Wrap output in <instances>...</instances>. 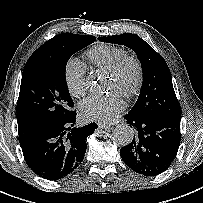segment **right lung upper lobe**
I'll list each match as a JSON object with an SVG mask.
<instances>
[{"label":"right lung upper lobe","mask_w":203,"mask_h":203,"mask_svg":"<svg viewBox=\"0 0 203 203\" xmlns=\"http://www.w3.org/2000/svg\"><path fill=\"white\" fill-rule=\"evenodd\" d=\"M78 35V34H71V33H64V34H59L53 37L52 39L46 41L41 47H39L31 56L30 58L38 57L41 55L48 54L55 50L58 46L69 40L71 37ZM17 122H18V133L22 134L25 133L29 130L30 128L24 127L17 117Z\"/></svg>","instance_id":"obj_1"}]
</instances>
